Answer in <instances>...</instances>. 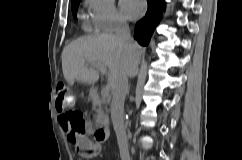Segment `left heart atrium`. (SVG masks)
Here are the masks:
<instances>
[{"label":"left heart atrium","mask_w":242,"mask_h":160,"mask_svg":"<svg viewBox=\"0 0 242 160\" xmlns=\"http://www.w3.org/2000/svg\"><path fill=\"white\" fill-rule=\"evenodd\" d=\"M120 6L123 13L129 19H136L140 17L146 9L144 0H120Z\"/></svg>","instance_id":"1"}]
</instances>
